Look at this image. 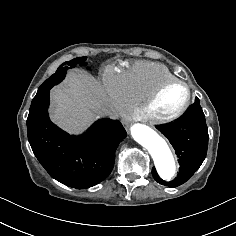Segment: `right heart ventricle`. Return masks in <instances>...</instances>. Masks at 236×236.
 Segmentation results:
<instances>
[{
  "label": "right heart ventricle",
  "instance_id": "1",
  "mask_svg": "<svg viewBox=\"0 0 236 236\" xmlns=\"http://www.w3.org/2000/svg\"><path fill=\"white\" fill-rule=\"evenodd\" d=\"M176 79L165 66L154 62H137L126 72L122 84L128 103H141L161 82Z\"/></svg>",
  "mask_w": 236,
  "mask_h": 236
}]
</instances>
